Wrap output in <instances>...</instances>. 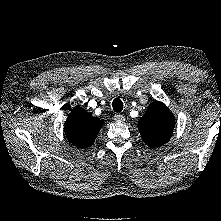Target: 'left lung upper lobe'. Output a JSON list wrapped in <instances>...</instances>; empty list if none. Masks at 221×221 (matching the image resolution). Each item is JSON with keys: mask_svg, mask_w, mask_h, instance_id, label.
Here are the masks:
<instances>
[{"mask_svg": "<svg viewBox=\"0 0 221 221\" xmlns=\"http://www.w3.org/2000/svg\"><path fill=\"white\" fill-rule=\"evenodd\" d=\"M174 125L170 110L162 102L154 101L139 120L138 129L145 144L158 147L169 141Z\"/></svg>", "mask_w": 221, "mask_h": 221, "instance_id": "5c2ea615", "label": "left lung upper lobe"}]
</instances>
